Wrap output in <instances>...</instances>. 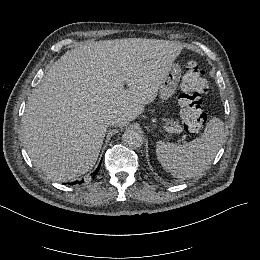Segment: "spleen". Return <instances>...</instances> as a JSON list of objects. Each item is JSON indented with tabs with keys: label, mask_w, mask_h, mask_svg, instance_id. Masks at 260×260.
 <instances>
[{
	"label": "spleen",
	"mask_w": 260,
	"mask_h": 260,
	"mask_svg": "<svg viewBox=\"0 0 260 260\" xmlns=\"http://www.w3.org/2000/svg\"><path fill=\"white\" fill-rule=\"evenodd\" d=\"M225 134L224 122L219 117L207 121L204 133L190 143L178 145L161 140L156 142L155 154L162 168L174 178L198 176L214 160Z\"/></svg>",
	"instance_id": "spleen-1"
}]
</instances>
